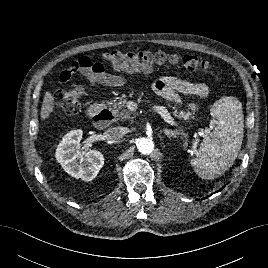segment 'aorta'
Returning a JSON list of instances; mask_svg holds the SVG:
<instances>
[{
	"instance_id": "aorta-1",
	"label": "aorta",
	"mask_w": 268,
	"mask_h": 268,
	"mask_svg": "<svg viewBox=\"0 0 268 268\" xmlns=\"http://www.w3.org/2000/svg\"><path fill=\"white\" fill-rule=\"evenodd\" d=\"M136 146L141 154L147 155L154 150V142L150 138L141 137L137 139Z\"/></svg>"
}]
</instances>
